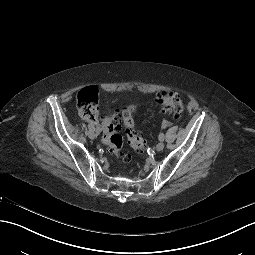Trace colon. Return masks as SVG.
<instances>
[{"instance_id": "colon-1", "label": "colon", "mask_w": 255, "mask_h": 255, "mask_svg": "<svg viewBox=\"0 0 255 255\" xmlns=\"http://www.w3.org/2000/svg\"><path fill=\"white\" fill-rule=\"evenodd\" d=\"M156 102L162 109L175 118H179L183 112L184 106L180 96L176 93H160L156 97ZM77 108L82 117L95 121L98 115V90L96 87H88L79 91L77 95ZM135 105H127L123 108L120 118L125 126V132L129 144L137 152L142 153L146 149L145 140L134 129ZM118 114L107 116L101 124L102 141L109 150L121 157L123 161H129L130 155L122 154L123 139L118 134L119 128Z\"/></svg>"}]
</instances>
